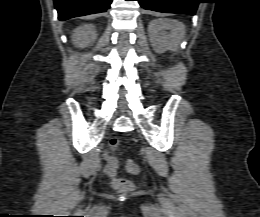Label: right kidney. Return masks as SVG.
<instances>
[{
    "label": "right kidney",
    "instance_id": "right-kidney-1",
    "mask_svg": "<svg viewBox=\"0 0 260 217\" xmlns=\"http://www.w3.org/2000/svg\"><path fill=\"white\" fill-rule=\"evenodd\" d=\"M96 39V31L94 25L85 24L76 28L72 34L73 44L77 47H87Z\"/></svg>",
    "mask_w": 260,
    "mask_h": 217
}]
</instances>
